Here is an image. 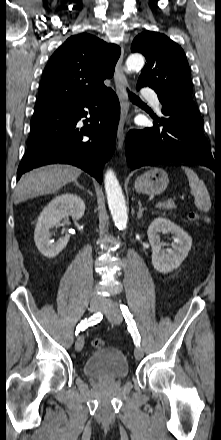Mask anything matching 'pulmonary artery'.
<instances>
[{"label":"pulmonary artery","instance_id":"1","mask_svg":"<svg viewBox=\"0 0 221 440\" xmlns=\"http://www.w3.org/2000/svg\"><path fill=\"white\" fill-rule=\"evenodd\" d=\"M142 96L146 99H148L151 104L157 109L160 110L161 108V104L160 101L157 97V94L154 90L152 89H143L142 90Z\"/></svg>","mask_w":221,"mask_h":440}]
</instances>
